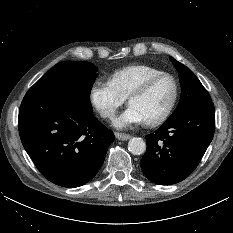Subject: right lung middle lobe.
<instances>
[{"instance_id": "right-lung-middle-lobe-1", "label": "right lung middle lobe", "mask_w": 233, "mask_h": 233, "mask_svg": "<svg viewBox=\"0 0 233 233\" xmlns=\"http://www.w3.org/2000/svg\"><path fill=\"white\" fill-rule=\"evenodd\" d=\"M97 70L90 62L63 61L53 66L28 92L66 95L92 113L90 92Z\"/></svg>"}]
</instances>
